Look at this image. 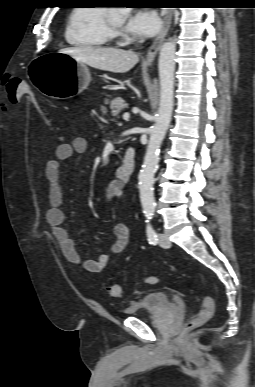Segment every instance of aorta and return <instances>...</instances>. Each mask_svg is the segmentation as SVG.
<instances>
[{
  "instance_id": "aorta-1",
  "label": "aorta",
  "mask_w": 255,
  "mask_h": 387,
  "mask_svg": "<svg viewBox=\"0 0 255 387\" xmlns=\"http://www.w3.org/2000/svg\"><path fill=\"white\" fill-rule=\"evenodd\" d=\"M130 8H114L113 13L126 16ZM176 43L173 39L166 40L159 53L158 70L160 80V100L155 125L151 129L150 140L139 174V191L143 211L151 217L155 211L154 175L159 162L161 143L169 128L174 106V71Z\"/></svg>"
}]
</instances>
